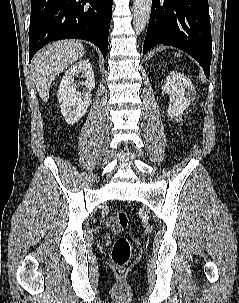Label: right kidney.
<instances>
[{"instance_id":"1","label":"right kidney","mask_w":239,"mask_h":303,"mask_svg":"<svg viewBox=\"0 0 239 303\" xmlns=\"http://www.w3.org/2000/svg\"><path fill=\"white\" fill-rule=\"evenodd\" d=\"M81 73L85 77L86 92L77 91L75 77ZM95 88L92 66L88 60H82L71 66L63 76L58 88V100L61 112L68 124L78 122L91 104V90Z\"/></svg>"}]
</instances>
